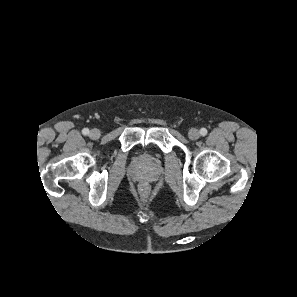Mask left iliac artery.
Here are the masks:
<instances>
[{
	"mask_svg": "<svg viewBox=\"0 0 297 297\" xmlns=\"http://www.w3.org/2000/svg\"><path fill=\"white\" fill-rule=\"evenodd\" d=\"M200 134H201L202 136L207 135V129H206V128H201V129H200Z\"/></svg>",
	"mask_w": 297,
	"mask_h": 297,
	"instance_id": "obj_1",
	"label": "left iliac artery"
}]
</instances>
